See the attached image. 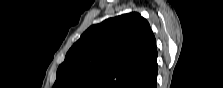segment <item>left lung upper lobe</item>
Here are the masks:
<instances>
[{"label": "left lung upper lobe", "instance_id": "5c2ea615", "mask_svg": "<svg viewBox=\"0 0 223 88\" xmlns=\"http://www.w3.org/2000/svg\"><path fill=\"white\" fill-rule=\"evenodd\" d=\"M157 65L149 23L129 13L92 25L67 52L54 86L130 88Z\"/></svg>", "mask_w": 223, "mask_h": 88}]
</instances>
